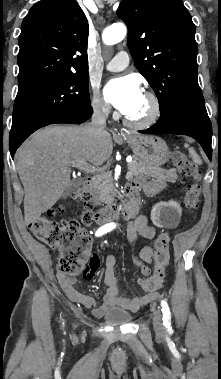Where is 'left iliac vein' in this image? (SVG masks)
<instances>
[{"mask_svg": "<svg viewBox=\"0 0 221 379\" xmlns=\"http://www.w3.org/2000/svg\"><path fill=\"white\" fill-rule=\"evenodd\" d=\"M153 325H154L156 332H158V333L163 332L164 326H163V320H162V313L160 312V310L154 311Z\"/></svg>", "mask_w": 221, "mask_h": 379, "instance_id": "obj_1", "label": "left iliac vein"}]
</instances>
